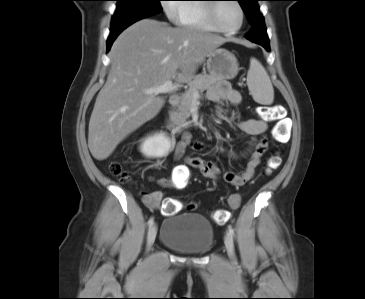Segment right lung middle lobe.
Instances as JSON below:
<instances>
[{
    "label": "right lung middle lobe",
    "mask_w": 365,
    "mask_h": 299,
    "mask_svg": "<svg viewBox=\"0 0 365 299\" xmlns=\"http://www.w3.org/2000/svg\"><path fill=\"white\" fill-rule=\"evenodd\" d=\"M118 5L112 22L140 16H151L161 12V0H116Z\"/></svg>",
    "instance_id": "dd1d6c3e"
}]
</instances>
